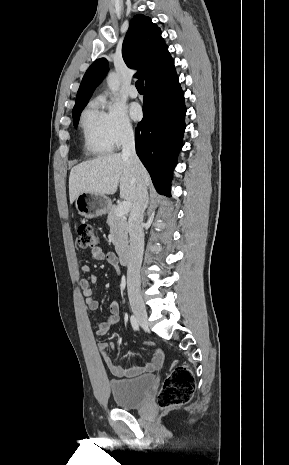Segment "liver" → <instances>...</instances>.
<instances>
[{
  "label": "liver",
  "instance_id": "6515ba94",
  "mask_svg": "<svg viewBox=\"0 0 289 465\" xmlns=\"http://www.w3.org/2000/svg\"><path fill=\"white\" fill-rule=\"evenodd\" d=\"M138 179L147 186L149 175L143 165L135 166L120 153L100 156L73 167L69 176V197L73 203L81 193L111 195L120 187V197L130 203L137 199Z\"/></svg>",
  "mask_w": 289,
  "mask_h": 465
}]
</instances>
